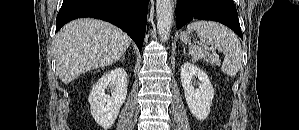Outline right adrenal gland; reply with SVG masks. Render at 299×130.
I'll list each match as a JSON object with an SVG mask.
<instances>
[{
	"label": "right adrenal gland",
	"instance_id": "1",
	"mask_svg": "<svg viewBox=\"0 0 299 130\" xmlns=\"http://www.w3.org/2000/svg\"><path fill=\"white\" fill-rule=\"evenodd\" d=\"M122 61H125V56L123 55V57H122V59H121Z\"/></svg>",
	"mask_w": 299,
	"mask_h": 130
}]
</instances>
